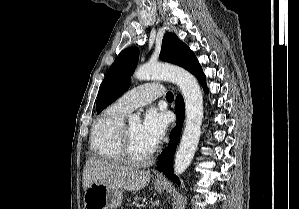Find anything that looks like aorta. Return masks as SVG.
Here are the masks:
<instances>
[{
    "label": "aorta",
    "mask_w": 299,
    "mask_h": 209,
    "mask_svg": "<svg viewBox=\"0 0 299 209\" xmlns=\"http://www.w3.org/2000/svg\"><path fill=\"white\" fill-rule=\"evenodd\" d=\"M138 80H168L176 83L185 102V128L174 160V173L182 175L196 152L203 120V95L197 79L183 68L160 63H147L137 68ZM130 123H139L138 115L130 116Z\"/></svg>",
    "instance_id": "762f6f07"
}]
</instances>
